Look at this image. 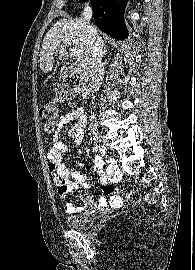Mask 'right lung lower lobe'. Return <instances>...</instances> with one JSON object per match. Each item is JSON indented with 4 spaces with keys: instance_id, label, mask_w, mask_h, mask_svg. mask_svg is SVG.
Instances as JSON below:
<instances>
[{
    "instance_id": "98d812e1",
    "label": "right lung lower lobe",
    "mask_w": 195,
    "mask_h": 270,
    "mask_svg": "<svg viewBox=\"0 0 195 270\" xmlns=\"http://www.w3.org/2000/svg\"><path fill=\"white\" fill-rule=\"evenodd\" d=\"M84 3L86 0H80ZM96 25L116 40L128 37L124 22L127 0H90Z\"/></svg>"
}]
</instances>
